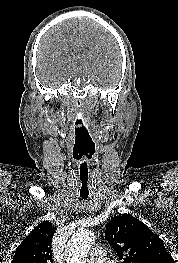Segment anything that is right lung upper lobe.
Instances as JSON below:
<instances>
[{
    "instance_id": "obj_1",
    "label": "right lung upper lobe",
    "mask_w": 178,
    "mask_h": 263,
    "mask_svg": "<svg viewBox=\"0 0 178 263\" xmlns=\"http://www.w3.org/2000/svg\"><path fill=\"white\" fill-rule=\"evenodd\" d=\"M54 232L49 221L40 223L17 247L11 263H53L51 242Z\"/></svg>"
}]
</instances>
